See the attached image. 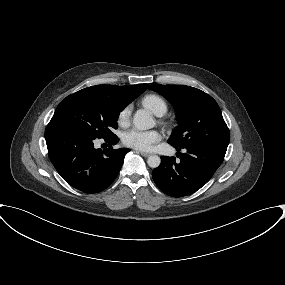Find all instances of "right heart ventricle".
Segmentation results:
<instances>
[{
    "instance_id": "e07e8e85",
    "label": "right heart ventricle",
    "mask_w": 285,
    "mask_h": 285,
    "mask_svg": "<svg viewBox=\"0 0 285 285\" xmlns=\"http://www.w3.org/2000/svg\"><path fill=\"white\" fill-rule=\"evenodd\" d=\"M142 104L158 116L165 114L168 108L165 99L157 94H148L144 96Z\"/></svg>"
}]
</instances>
